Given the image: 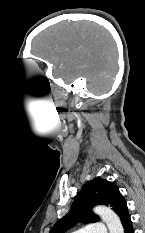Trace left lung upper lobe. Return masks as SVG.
Wrapping results in <instances>:
<instances>
[{
    "instance_id": "1",
    "label": "left lung upper lobe",
    "mask_w": 145,
    "mask_h": 233,
    "mask_svg": "<svg viewBox=\"0 0 145 233\" xmlns=\"http://www.w3.org/2000/svg\"><path fill=\"white\" fill-rule=\"evenodd\" d=\"M97 204L110 206L120 217L123 227L131 220L119 188L107 180L94 179L85 183L76 196L70 212L61 218L49 233H64L79 221L83 223L99 221V217L92 212L93 206Z\"/></svg>"
}]
</instances>
